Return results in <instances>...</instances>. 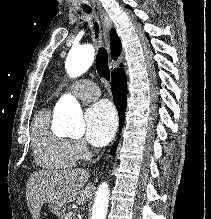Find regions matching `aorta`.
<instances>
[{"label":"aorta","instance_id":"762f6f07","mask_svg":"<svg viewBox=\"0 0 211 219\" xmlns=\"http://www.w3.org/2000/svg\"><path fill=\"white\" fill-rule=\"evenodd\" d=\"M94 60L91 45L73 47L68 53L65 69L70 77H78L88 70ZM55 118L64 126V132L71 137H81L85 133L82 110L71 95H64L56 105ZM109 203V188L103 182L97 191L90 219H105Z\"/></svg>","mask_w":211,"mask_h":219}]
</instances>
